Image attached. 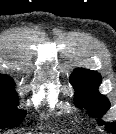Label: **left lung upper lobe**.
<instances>
[{"label": "left lung upper lobe", "instance_id": "1", "mask_svg": "<svg viewBox=\"0 0 116 134\" xmlns=\"http://www.w3.org/2000/svg\"><path fill=\"white\" fill-rule=\"evenodd\" d=\"M101 75L96 71L87 69H75L70 76V83L76 89L74 101L78 107H85L89 114L97 117L103 124L101 117L110 108L107 97L98 92L101 84ZM106 130L116 134L115 123L106 124Z\"/></svg>", "mask_w": 116, "mask_h": 134}]
</instances>
